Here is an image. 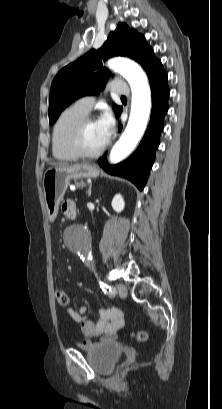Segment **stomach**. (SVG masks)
I'll use <instances>...</instances> for the list:
<instances>
[{
	"label": "stomach",
	"mask_w": 222,
	"mask_h": 409,
	"mask_svg": "<svg viewBox=\"0 0 222 409\" xmlns=\"http://www.w3.org/2000/svg\"><path fill=\"white\" fill-rule=\"evenodd\" d=\"M99 171L94 166L81 163L48 168L43 175V190L48 219L54 221L60 202L70 184V180L97 177Z\"/></svg>",
	"instance_id": "1"
}]
</instances>
